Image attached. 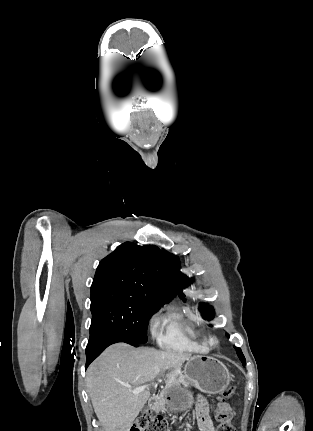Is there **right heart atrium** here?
Segmentation results:
<instances>
[{
  "label": "right heart atrium",
  "instance_id": "obj_1",
  "mask_svg": "<svg viewBox=\"0 0 313 431\" xmlns=\"http://www.w3.org/2000/svg\"><path fill=\"white\" fill-rule=\"evenodd\" d=\"M157 326H158V321L157 320H154L153 322H152V325H151V327H152V331L155 333L156 332V330H157Z\"/></svg>",
  "mask_w": 313,
  "mask_h": 431
}]
</instances>
